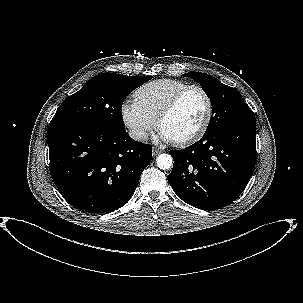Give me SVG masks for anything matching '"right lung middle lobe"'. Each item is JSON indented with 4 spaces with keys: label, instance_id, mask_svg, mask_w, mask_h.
I'll return each instance as SVG.
<instances>
[{
    "label": "right lung middle lobe",
    "instance_id": "1",
    "mask_svg": "<svg viewBox=\"0 0 303 303\" xmlns=\"http://www.w3.org/2000/svg\"><path fill=\"white\" fill-rule=\"evenodd\" d=\"M152 76L102 73L91 78L68 96L56 111L49 127L93 125L113 130L125 129L121 107L126 97Z\"/></svg>",
    "mask_w": 303,
    "mask_h": 303
}]
</instances>
